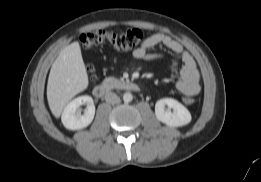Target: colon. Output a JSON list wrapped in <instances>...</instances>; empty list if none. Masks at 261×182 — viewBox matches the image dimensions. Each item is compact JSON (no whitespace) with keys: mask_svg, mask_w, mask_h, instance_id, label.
I'll return each instance as SVG.
<instances>
[{"mask_svg":"<svg viewBox=\"0 0 261 182\" xmlns=\"http://www.w3.org/2000/svg\"><path fill=\"white\" fill-rule=\"evenodd\" d=\"M144 34L138 29L114 32L106 30H93L81 35V43L84 49L89 50L102 45H110L119 50H130L139 47L144 42ZM184 102L194 105V95H186Z\"/></svg>","mask_w":261,"mask_h":182,"instance_id":"colon-1","label":"colon"}]
</instances>
